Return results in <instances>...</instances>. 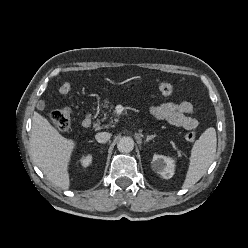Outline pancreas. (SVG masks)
I'll return each mask as SVG.
<instances>
[{"mask_svg":"<svg viewBox=\"0 0 248 248\" xmlns=\"http://www.w3.org/2000/svg\"><path fill=\"white\" fill-rule=\"evenodd\" d=\"M107 105H108V102H105L104 107L106 108ZM111 107H112V106H111ZM106 119H107V116L105 115V116H104V120H106ZM93 126L96 128V130L101 129V127H100V122H99V121H98L97 123H95Z\"/></svg>","mask_w":248,"mask_h":248,"instance_id":"cf45deb5","label":"pancreas"}]
</instances>
